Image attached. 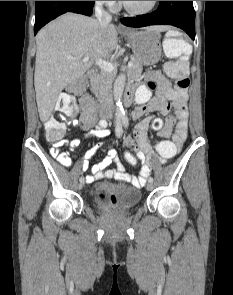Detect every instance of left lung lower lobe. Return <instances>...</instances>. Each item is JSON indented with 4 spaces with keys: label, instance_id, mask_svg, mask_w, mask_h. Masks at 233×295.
Masks as SVG:
<instances>
[{
    "label": "left lung lower lobe",
    "instance_id": "obj_1",
    "mask_svg": "<svg viewBox=\"0 0 233 295\" xmlns=\"http://www.w3.org/2000/svg\"><path fill=\"white\" fill-rule=\"evenodd\" d=\"M129 27L169 24L183 29L195 39V11L193 1H160L156 11L137 17L121 19Z\"/></svg>",
    "mask_w": 233,
    "mask_h": 295
}]
</instances>
